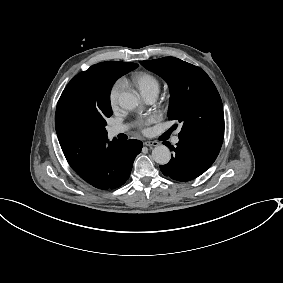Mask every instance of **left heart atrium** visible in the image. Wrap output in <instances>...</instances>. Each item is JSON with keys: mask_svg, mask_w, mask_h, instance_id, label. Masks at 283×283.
<instances>
[{"mask_svg": "<svg viewBox=\"0 0 283 283\" xmlns=\"http://www.w3.org/2000/svg\"><path fill=\"white\" fill-rule=\"evenodd\" d=\"M145 125H146V123H141V124H140V127H141L143 130H146Z\"/></svg>", "mask_w": 283, "mask_h": 283, "instance_id": "39dd6f15", "label": "left heart atrium"}]
</instances>
